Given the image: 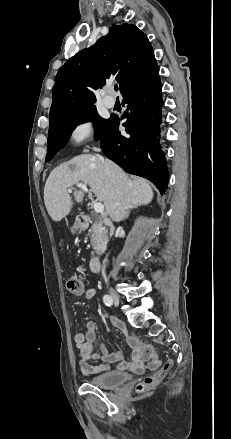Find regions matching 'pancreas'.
<instances>
[{
    "mask_svg": "<svg viewBox=\"0 0 231 439\" xmlns=\"http://www.w3.org/2000/svg\"><path fill=\"white\" fill-rule=\"evenodd\" d=\"M89 233L91 235V243L94 251L99 252L106 246L108 242L107 231L101 227L100 224H94L89 229ZM92 255H94V252H92Z\"/></svg>",
    "mask_w": 231,
    "mask_h": 439,
    "instance_id": "obj_1",
    "label": "pancreas"
}]
</instances>
